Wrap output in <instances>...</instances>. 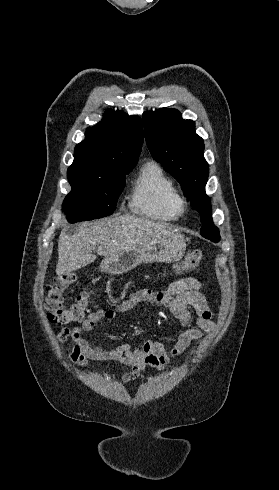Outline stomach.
<instances>
[{"label": "stomach", "mask_w": 279, "mask_h": 490, "mask_svg": "<svg viewBox=\"0 0 279 490\" xmlns=\"http://www.w3.org/2000/svg\"><path fill=\"white\" fill-rule=\"evenodd\" d=\"M186 250V242L183 236H174V238H160L152 242H144L134 250H125L117 256H108L100 264L101 272L107 274H125L130 272L142 262H179L182 260Z\"/></svg>", "instance_id": "0dacf381"}]
</instances>
